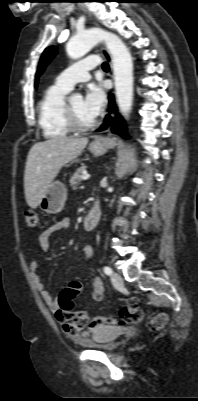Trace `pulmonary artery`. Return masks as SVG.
<instances>
[{
	"label": "pulmonary artery",
	"instance_id": "1",
	"mask_svg": "<svg viewBox=\"0 0 198 401\" xmlns=\"http://www.w3.org/2000/svg\"><path fill=\"white\" fill-rule=\"evenodd\" d=\"M99 63L100 59L96 56L80 60L60 73L55 83L64 89L71 90L76 83L87 81L90 78V70Z\"/></svg>",
	"mask_w": 198,
	"mask_h": 401
}]
</instances>
